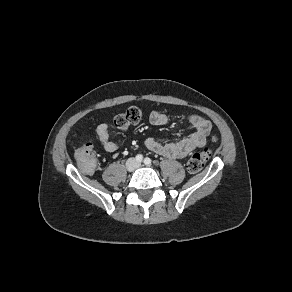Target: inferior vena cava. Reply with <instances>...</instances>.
Listing matches in <instances>:
<instances>
[{
	"instance_id": "1",
	"label": "inferior vena cava",
	"mask_w": 292,
	"mask_h": 292,
	"mask_svg": "<svg viewBox=\"0 0 292 292\" xmlns=\"http://www.w3.org/2000/svg\"><path fill=\"white\" fill-rule=\"evenodd\" d=\"M127 165L132 169H135L139 166V163L134 158H129L127 160Z\"/></svg>"
}]
</instances>
